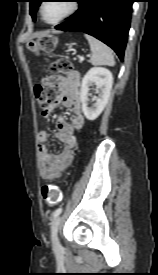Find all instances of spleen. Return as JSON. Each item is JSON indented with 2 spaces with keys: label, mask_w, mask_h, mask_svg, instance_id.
<instances>
[{
  "label": "spleen",
  "mask_w": 158,
  "mask_h": 275,
  "mask_svg": "<svg viewBox=\"0 0 158 275\" xmlns=\"http://www.w3.org/2000/svg\"><path fill=\"white\" fill-rule=\"evenodd\" d=\"M85 37L88 40L92 51L90 59L92 65H115L112 50L107 45L90 35H85Z\"/></svg>",
  "instance_id": "obj_1"
}]
</instances>
